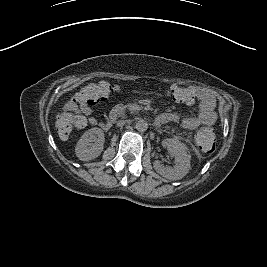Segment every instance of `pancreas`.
Masks as SVG:
<instances>
[{
    "label": "pancreas",
    "instance_id": "cf45deb5",
    "mask_svg": "<svg viewBox=\"0 0 267 267\" xmlns=\"http://www.w3.org/2000/svg\"><path fill=\"white\" fill-rule=\"evenodd\" d=\"M130 111H135V108L133 105H131L129 108H128Z\"/></svg>",
    "mask_w": 267,
    "mask_h": 267
}]
</instances>
